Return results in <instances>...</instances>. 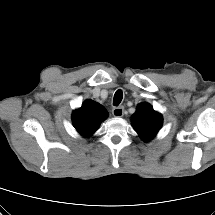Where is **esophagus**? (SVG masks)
Wrapping results in <instances>:
<instances>
[{"label": "esophagus", "mask_w": 215, "mask_h": 215, "mask_svg": "<svg viewBox=\"0 0 215 215\" xmlns=\"http://www.w3.org/2000/svg\"><path fill=\"white\" fill-rule=\"evenodd\" d=\"M112 114L113 116L115 117H122L123 114H124V108L122 106H119V107H114L112 109Z\"/></svg>", "instance_id": "1"}]
</instances>
